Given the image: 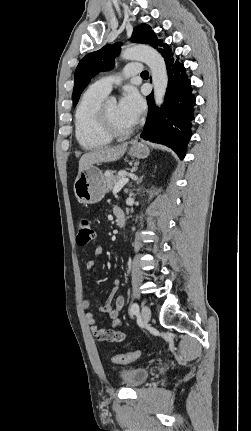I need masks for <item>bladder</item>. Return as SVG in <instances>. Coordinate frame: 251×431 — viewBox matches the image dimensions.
<instances>
[{"instance_id": "obj_1", "label": "bladder", "mask_w": 251, "mask_h": 431, "mask_svg": "<svg viewBox=\"0 0 251 431\" xmlns=\"http://www.w3.org/2000/svg\"><path fill=\"white\" fill-rule=\"evenodd\" d=\"M119 378L123 384L129 387H137L148 380L149 371L139 367L124 368L120 370Z\"/></svg>"}]
</instances>
